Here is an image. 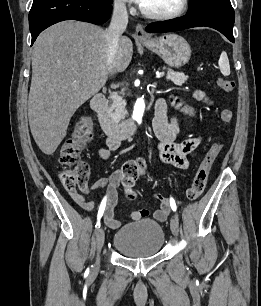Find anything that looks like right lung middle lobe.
<instances>
[{"label": "right lung middle lobe", "mask_w": 261, "mask_h": 306, "mask_svg": "<svg viewBox=\"0 0 261 306\" xmlns=\"http://www.w3.org/2000/svg\"><path fill=\"white\" fill-rule=\"evenodd\" d=\"M100 1H102V2H104V3H112V0H100Z\"/></svg>", "instance_id": "right-lung-middle-lobe-1"}]
</instances>
